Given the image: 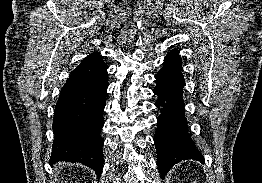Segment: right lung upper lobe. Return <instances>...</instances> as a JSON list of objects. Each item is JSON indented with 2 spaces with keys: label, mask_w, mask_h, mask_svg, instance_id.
Masks as SVG:
<instances>
[{
  "label": "right lung upper lobe",
  "mask_w": 262,
  "mask_h": 183,
  "mask_svg": "<svg viewBox=\"0 0 262 183\" xmlns=\"http://www.w3.org/2000/svg\"><path fill=\"white\" fill-rule=\"evenodd\" d=\"M103 58L98 52H94L83 59L82 62H102Z\"/></svg>",
  "instance_id": "right-lung-upper-lobe-1"
}]
</instances>
